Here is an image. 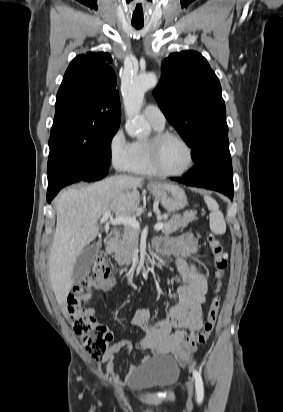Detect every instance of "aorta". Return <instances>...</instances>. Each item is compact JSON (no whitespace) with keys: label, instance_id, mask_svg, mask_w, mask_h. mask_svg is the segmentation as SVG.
<instances>
[{"label":"aorta","instance_id":"obj_1","mask_svg":"<svg viewBox=\"0 0 283 412\" xmlns=\"http://www.w3.org/2000/svg\"><path fill=\"white\" fill-rule=\"evenodd\" d=\"M156 84L157 78L154 74L145 77H128L123 80L121 92L127 117L125 129L130 136L145 135L142 129L144 122L140 116V110L145 93Z\"/></svg>","mask_w":283,"mask_h":412}]
</instances>
